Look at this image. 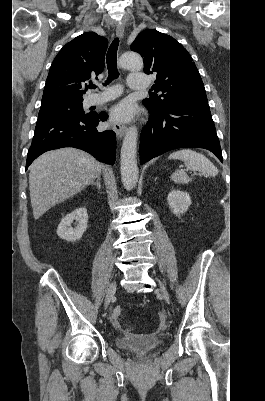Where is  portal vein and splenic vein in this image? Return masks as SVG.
Here are the masks:
<instances>
[{
  "label": "portal vein and splenic vein",
  "mask_w": 265,
  "mask_h": 401,
  "mask_svg": "<svg viewBox=\"0 0 265 401\" xmlns=\"http://www.w3.org/2000/svg\"><path fill=\"white\" fill-rule=\"evenodd\" d=\"M192 175H193V176H199V175H200V172H199V171H193V172H192Z\"/></svg>",
  "instance_id": "18ae733b"
}]
</instances>
